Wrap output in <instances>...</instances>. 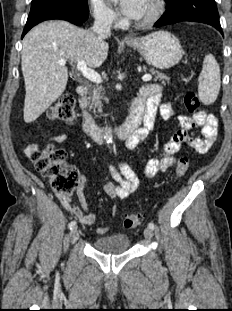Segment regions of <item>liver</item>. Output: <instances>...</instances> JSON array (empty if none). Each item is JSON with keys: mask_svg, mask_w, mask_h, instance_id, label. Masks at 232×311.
Returning <instances> with one entry per match:
<instances>
[{"mask_svg": "<svg viewBox=\"0 0 232 311\" xmlns=\"http://www.w3.org/2000/svg\"><path fill=\"white\" fill-rule=\"evenodd\" d=\"M105 38L66 21H47L27 33L21 52L26 123L35 121L64 92L68 71L58 62L84 61L90 68L100 67L108 55Z\"/></svg>", "mask_w": 232, "mask_h": 311, "instance_id": "6515ba94", "label": "liver"}]
</instances>
